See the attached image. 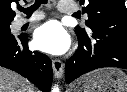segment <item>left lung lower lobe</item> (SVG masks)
Instances as JSON below:
<instances>
[{
    "label": "left lung lower lobe",
    "instance_id": "left-lung-lower-lobe-1",
    "mask_svg": "<svg viewBox=\"0 0 127 92\" xmlns=\"http://www.w3.org/2000/svg\"><path fill=\"white\" fill-rule=\"evenodd\" d=\"M78 38L79 48L66 63L65 79L68 84L98 68L127 69V27L100 26L78 35Z\"/></svg>",
    "mask_w": 127,
    "mask_h": 92
}]
</instances>
